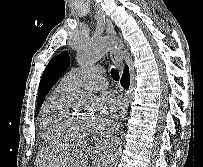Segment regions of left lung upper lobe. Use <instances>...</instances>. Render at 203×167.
Here are the masks:
<instances>
[{"label":"left lung upper lobe","instance_id":"left-lung-upper-lobe-1","mask_svg":"<svg viewBox=\"0 0 203 167\" xmlns=\"http://www.w3.org/2000/svg\"><path fill=\"white\" fill-rule=\"evenodd\" d=\"M70 64L69 55L65 52L58 56H55L48 63L45 68L39 89H38V100H37V108L39 109L44 102L45 96L50 91V89L55 85L58 81L59 77L63 74V72L68 68Z\"/></svg>","mask_w":203,"mask_h":167}]
</instances>
